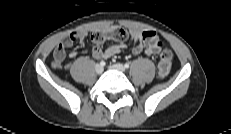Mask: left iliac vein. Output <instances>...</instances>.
I'll return each mask as SVG.
<instances>
[{"label":"left iliac vein","mask_w":231,"mask_h":134,"mask_svg":"<svg viewBox=\"0 0 231 134\" xmlns=\"http://www.w3.org/2000/svg\"><path fill=\"white\" fill-rule=\"evenodd\" d=\"M109 68L112 69V70L125 72V67L120 63L110 65Z\"/></svg>","instance_id":"4c4485c4"}]
</instances>
